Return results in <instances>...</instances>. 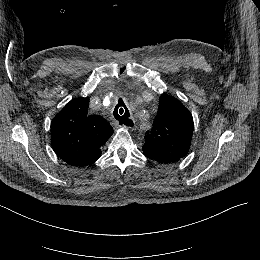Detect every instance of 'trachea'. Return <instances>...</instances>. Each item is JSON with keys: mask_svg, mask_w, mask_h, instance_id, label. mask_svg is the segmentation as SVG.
Instances as JSON below:
<instances>
[{"mask_svg": "<svg viewBox=\"0 0 260 260\" xmlns=\"http://www.w3.org/2000/svg\"><path fill=\"white\" fill-rule=\"evenodd\" d=\"M113 115L115 119L119 121V124L124 125L129 121L130 113L128 108L123 104L122 107L118 105L115 107Z\"/></svg>", "mask_w": 260, "mask_h": 260, "instance_id": "trachea-1", "label": "trachea"}]
</instances>
